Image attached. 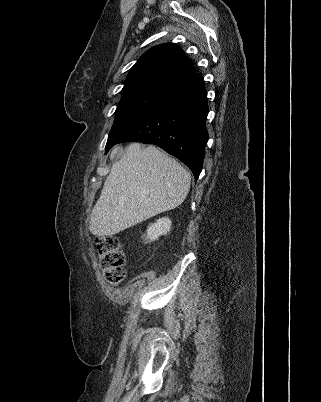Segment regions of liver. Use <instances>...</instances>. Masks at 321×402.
<instances>
[{"mask_svg": "<svg viewBox=\"0 0 321 402\" xmlns=\"http://www.w3.org/2000/svg\"><path fill=\"white\" fill-rule=\"evenodd\" d=\"M115 147L111 160L117 154ZM191 177L174 158L155 146L129 145L113 163L90 217L92 234L115 235L182 204Z\"/></svg>", "mask_w": 321, "mask_h": 402, "instance_id": "liver-1", "label": "liver"}]
</instances>
